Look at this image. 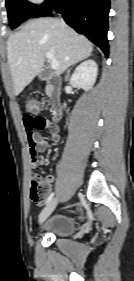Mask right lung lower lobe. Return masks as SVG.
<instances>
[{
    "label": "right lung lower lobe",
    "instance_id": "1",
    "mask_svg": "<svg viewBox=\"0 0 134 281\" xmlns=\"http://www.w3.org/2000/svg\"><path fill=\"white\" fill-rule=\"evenodd\" d=\"M54 9L69 26L86 35L108 56L109 0H48L31 17L48 16Z\"/></svg>",
    "mask_w": 134,
    "mask_h": 281
}]
</instances>
